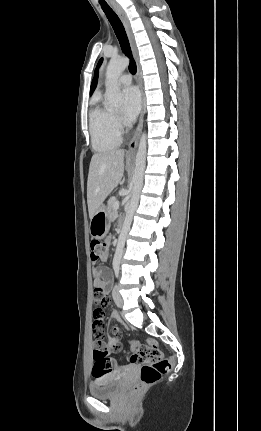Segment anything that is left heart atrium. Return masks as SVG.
<instances>
[{"instance_id": "left-heart-atrium-1", "label": "left heart atrium", "mask_w": 261, "mask_h": 431, "mask_svg": "<svg viewBox=\"0 0 261 431\" xmlns=\"http://www.w3.org/2000/svg\"><path fill=\"white\" fill-rule=\"evenodd\" d=\"M123 117L127 122H132L141 107V98L135 86H128L122 90Z\"/></svg>"}]
</instances>
